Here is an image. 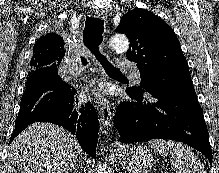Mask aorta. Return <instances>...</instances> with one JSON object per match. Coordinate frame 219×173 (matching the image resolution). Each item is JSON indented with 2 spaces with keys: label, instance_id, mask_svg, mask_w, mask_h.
Returning <instances> with one entry per match:
<instances>
[{
  "label": "aorta",
  "instance_id": "aorta-1",
  "mask_svg": "<svg viewBox=\"0 0 219 173\" xmlns=\"http://www.w3.org/2000/svg\"><path fill=\"white\" fill-rule=\"evenodd\" d=\"M110 48L116 53H125L129 48V40L124 34H115L110 40ZM97 173H114L106 163H100Z\"/></svg>",
  "mask_w": 219,
  "mask_h": 173
}]
</instances>
